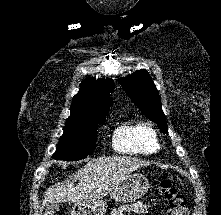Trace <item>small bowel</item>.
I'll return each mask as SVG.
<instances>
[{"mask_svg": "<svg viewBox=\"0 0 221 215\" xmlns=\"http://www.w3.org/2000/svg\"><path fill=\"white\" fill-rule=\"evenodd\" d=\"M149 209H150L149 205L141 202H136L133 204H126L115 209L112 212V215H124V213L128 212H133L136 214H147L149 212Z\"/></svg>", "mask_w": 221, "mask_h": 215, "instance_id": "1", "label": "small bowel"}]
</instances>
